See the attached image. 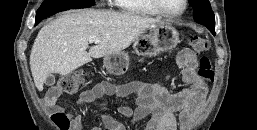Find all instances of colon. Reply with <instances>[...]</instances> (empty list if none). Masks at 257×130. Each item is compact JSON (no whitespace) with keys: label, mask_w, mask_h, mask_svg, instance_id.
<instances>
[{"label":"colon","mask_w":257,"mask_h":130,"mask_svg":"<svg viewBox=\"0 0 257 130\" xmlns=\"http://www.w3.org/2000/svg\"><path fill=\"white\" fill-rule=\"evenodd\" d=\"M190 46L195 54H201L208 49V42L204 38L193 35L190 38ZM199 77L205 82H212L214 79V70L208 57L203 56L199 60ZM85 74L82 71H75L63 76L58 83L52 87V93L57 95L61 93H74L84 81ZM55 125L61 130H68L70 127V118L64 112H55L52 115Z\"/></svg>","instance_id":"5ec220e1"}]
</instances>
